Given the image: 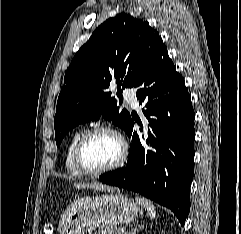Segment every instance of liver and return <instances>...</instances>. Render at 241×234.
<instances>
[{"label": "liver", "instance_id": "obj_1", "mask_svg": "<svg viewBox=\"0 0 241 234\" xmlns=\"http://www.w3.org/2000/svg\"><path fill=\"white\" fill-rule=\"evenodd\" d=\"M74 186L77 188V189H89V188H92V189H95V190H101V191H105L108 189V187H106L105 185L101 184V183H98V182H91V183H85V182H79V183H76L74 182Z\"/></svg>", "mask_w": 241, "mask_h": 234}]
</instances>
